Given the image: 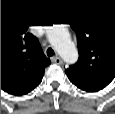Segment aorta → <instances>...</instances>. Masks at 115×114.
Segmentation results:
<instances>
[{
  "label": "aorta",
  "instance_id": "1",
  "mask_svg": "<svg viewBox=\"0 0 115 114\" xmlns=\"http://www.w3.org/2000/svg\"><path fill=\"white\" fill-rule=\"evenodd\" d=\"M48 36L50 42L65 62L72 64L77 61L78 51L66 28L54 26L49 29Z\"/></svg>",
  "mask_w": 115,
  "mask_h": 114
}]
</instances>
